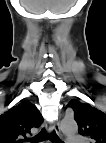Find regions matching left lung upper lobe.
<instances>
[{
    "label": "left lung upper lobe",
    "instance_id": "1",
    "mask_svg": "<svg viewBox=\"0 0 106 143\" xmlns=\"http://www.w3.org/2000/svg\"><path fill=\"white\" fill-rule=\"evenodd\" d=\"M67 107L74 111L79 134L91 138L95 143H106V114L79 100H71Z\"/></svg>",
    "mask_w": 106,
    "mask_h": 143
}]
</instances>
